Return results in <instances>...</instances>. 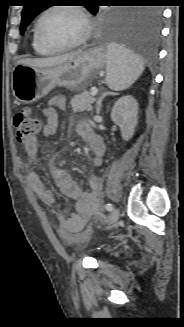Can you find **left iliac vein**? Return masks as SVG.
<instances>
[{
    "label": "left iliac vein",
    "mask_w": 184,
    "mask_h": 327,
    "mask_svg": "<svg viewBox=\"0 0 184 327\" xmlns=\"http://www.w3.org/2000/svg\"><path fill=\"white\" fill-rule=\"evenodd\" d=\"M119 216H120V211H119L118 208H115L113 210L111 216L109 217L108 227L107 228H110L112 225H114L118 221Z\"/></svg>",
    "instance_id": "4c4485c4"
}]
</instances>
